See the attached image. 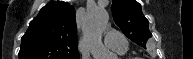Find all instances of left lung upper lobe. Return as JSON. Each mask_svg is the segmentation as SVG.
<instances>
[{
	"instance_id": "5c2ea615",
	"label": "left lung upper lobe",
	"mask_w": 193,
	"mask_h": 59,
	"mask_svg": "<svg viewBox=\"0 0 193 59\" xmlns=\"http://www.w3.org/2000/svg\"><path fill=\"white\" fill-rule=\"evenodd\" d=\"M112 16L122 32L133 42L146 48V41L152 36L148 20L136 0H112Z\"/></svg>"
}]
</instances>
